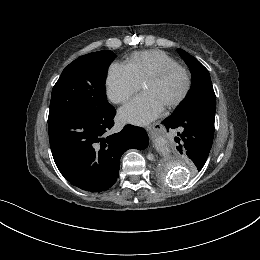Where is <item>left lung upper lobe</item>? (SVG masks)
<instances>
[{
    "instance_id": "1",
    "label": "left lung upper lobe",
    "mask_w": 260,
    "mask_h": 260,
    "mask_svg": "<svg viewBox=\"0 0 260 260\" xmlns=\"http://www.w3.org/2000/svg\"><path fill=\"white\" fill-rule=\"evenodd\" d=\"M178 53L189 66L192 74V85L186 98L176 108L173 115L195 112L215 117L216 96L208 70L184 50L178 49Z\"/></svg>"
}]
</instances>
